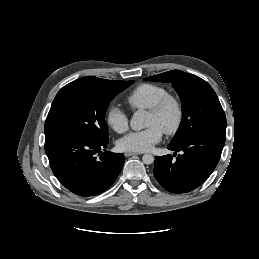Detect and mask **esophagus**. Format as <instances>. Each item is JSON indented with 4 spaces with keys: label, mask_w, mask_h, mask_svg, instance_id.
Returning <instances> with one entry per match:
<instances>
[{
    "label": "esophagus",
    "mask_w": 259,
    "mask_h": 259,
    "mask_svg": "<svg viewBox=\"0 0 259 259\" xmlns=\"http://www.w3.org/2000/svg\"><path fill=\"white\" fill-rule=\"evenodd\" d=\"M141 153H136V152H125L126 157L134 156V155H140Z\"/></svg>",
    "instance_id": "esophagus-1"
}]
</instances>
